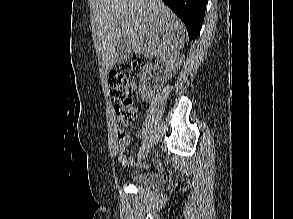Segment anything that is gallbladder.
<instances>
[{
    "instance_id": "obj_1",
    "label": "gallbladder",
    "mask_w": 293,
    "mask_h": 219,
    "mask_svg": "<svg viewBox=\"0 0 293 219\" xmlns=\"http://www.w3.org/2000/svg\"><path fill=\"white\" fill-rule=\"evenodd\" d=\"M132 56L131 41L128 36L121 37L116 44V63L121 64L128 61Z\"/></svg>"
}]
</instances>
